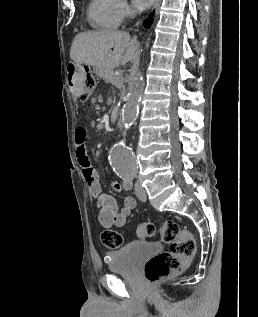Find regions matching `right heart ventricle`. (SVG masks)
Returning a JSON list of instances; mask_svg holds the SVG:
<instances>
[{
    "label": "right heart ventricle",
    "mask_w": 258,
    "mask_h": 317,
    "mask_svg": "<svg viewBox=\"0 0 258 317\" xmlns=\"http://www.w3.org/2000/svg\"><path fill=\"white\" fill-rule=\"evenodd\" d=\"M121 0H91L87 9L90 24L101 31L117 28L121 22L119 3Z\"/></svg>",
    "instance_id": "e07e8e85"
}]
</instances>
